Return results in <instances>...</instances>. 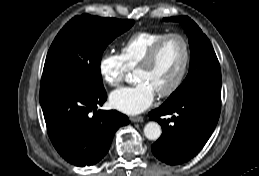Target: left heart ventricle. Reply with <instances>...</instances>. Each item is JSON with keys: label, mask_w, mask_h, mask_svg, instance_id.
Instances as JSON below:
<instances>
[{"label": "left heart ventricle", "mask_w": 259, "mask_h": 176, "mask_svg": "<svg viewBox=\"0 0 259 176\" xmlns=\"http://www.w3.org/2000/svg\"><path fill=\"white\" fill-rule=\"evenodd\" d=\"M184 59L182 42L168 39L161 47L155 62L135 71V79L149 83L155 92L167 88L177 77Z\"/></svg>", "instance_id": "1"}]
</instances>
